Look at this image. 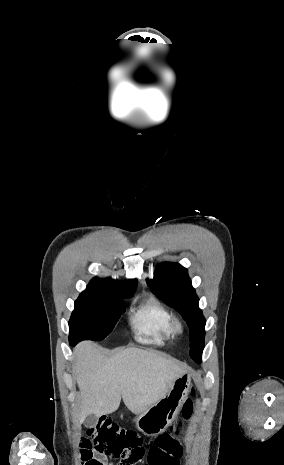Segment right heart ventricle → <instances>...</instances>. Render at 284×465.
<instances>
[{"mask_svg":"<svg viewBox=\"0 0 284 465\" xmlns=\"http://www.w3.org/2000/svg\"><path fill=\"white\" fill-rule=\"evenodd\" d=\"M174 320L175 317L168 307L155 296L149 295L133 310L130 326L144 343L163 346L174 338Z\"/></svg>","mask_w":284,"mask_h":465,"instance_id":"e07e8e85","label":"right heart ventricle"}]
</instances>
